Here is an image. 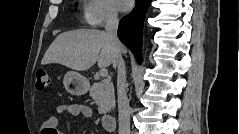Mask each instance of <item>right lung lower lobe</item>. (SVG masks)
Listing matches in <instances>:
<instances>
[{
	"label": "right lung lower lobe",
	"instance_id": "1",
	"mask_svg": "<svg viewBox=\"0 0 239 134\" xmlns=\"http://www.w3.org/2000/svg\"><path fill=\"white\" fill-rule=\"evenodd\" d=\"M151 0H136L133 11L123 17L118 27V37L136 56L139 63L142 61V32L147 9Z\"/></svg>",
	"mask_w": 239,
	"mask_h": 134
}]
</instances>
